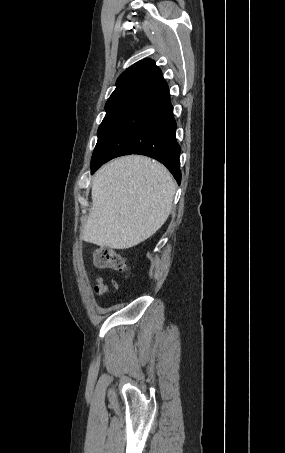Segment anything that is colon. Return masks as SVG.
<instances>
[{
  "label": "colon",
  "mask_w": 285,
  "mask_h": 453,
  "mask_svg": "<svg viewBox=\"0 0 285 453\" xmlns=\"http://www.w3.org/2000/svg\"><path fill=\"white\" fill-rule=\"evenodd\" d=\"M93 264L97 268L112 269L114 271L124 272L128 265L126 259L113 249L108 247H99L92 253Z\"/></svg>",
  "instance_id": "1"
}]
</instances>
